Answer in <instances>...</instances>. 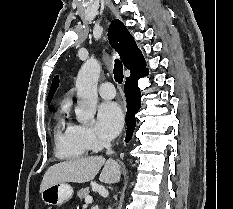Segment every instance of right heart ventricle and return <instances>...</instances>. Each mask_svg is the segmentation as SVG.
<instances>
[{"mask_svg":"<svg viewBox=\"0 0 233 209\" xmlns=\"http://www.w3.org/2000/svg\"><path fill=\"white\" fill-rule=\"evenodd\" d=\"M69 109L70 102L68 99H64L56 112L54 130L55 153L60 159L73 160L86 156L88 149L77 141L74 134V126L66 119Z\"/></svg>","mask_w":233,"mask_h":209,"instance_id":"e07e8e85","label":"right heart ventricle"}]
</instances>
